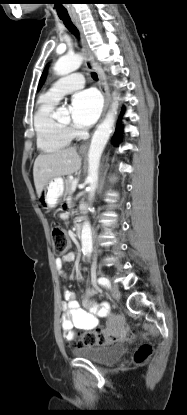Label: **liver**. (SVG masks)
Returning <instances> with one entry per match:
<instances>
[{
  "instance_id": "liver-1",
  "label": "liver",
  "mask_w": 187,
  "mask_h": 415,
  "mask_svg": "<svg viewBox=\"0 0 187 415\" xmlns=\"http://www.w3.org/2000/svg\"><path fill=\"white\" fill-rule=\"evenodd\" d=\"M80 167L81 159L74 147L38 155L33 167L34 184L38 196L49 180L72 174Z\"/></svg>"
}]
</instances>
